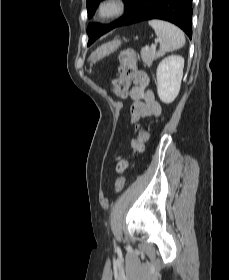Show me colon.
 <instances>
[{
  "instance_id": "1",
  "label": "colon",
  "mask_w": 229,
  "mask_h": 280,
  "mask_svg": "<svg viewBox=\"0 0 229 280\" xmlns=\"http://www.w3.org/2000/svg\"><path fill=\"white\" fill-rule=\"evenodd\" d=\"M119 62L121 64L117 80V91L126 88L129 83L134 82L140 86H147L149 83L148 76L145 72L137 68L136 53L132 49H125L119 52ZM148 138L146 129H141L139 135L132 141L133 153L143 151L144 143ZM119 168L122 163H119ZM125 184V176L122 175L115 180L114 186L117 191H120Z\"/></svg>"
}]
</instances>
